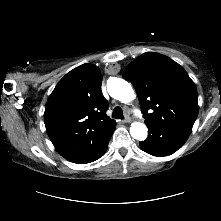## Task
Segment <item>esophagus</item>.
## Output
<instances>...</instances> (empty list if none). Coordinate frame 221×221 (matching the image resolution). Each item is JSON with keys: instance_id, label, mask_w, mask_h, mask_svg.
Here are the masks:
<instances>
[{"instance_id": "obj_1", "label": "esophagus", "mask_w": 221, "mask_h": 221, "mask_svg": "<svg viewBox=\"0 0 221 221\" xmlns=\"http://www.w3.org/2000/svg\"><path fill=\"white\" fill-rule=\"evenodd\" d=\"M123 122L130 123L131 122V118L129 116H126Z\"/></svg>"}]
</instances>
